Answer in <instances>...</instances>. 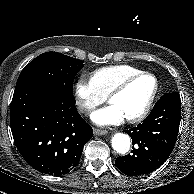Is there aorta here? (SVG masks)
Here are the masks:
<instances>
[{"instance_id":"762f6f07","label":"aorta","mask_w":194,"mask_h":194,"mask_svg":"<svg viewBox=\"0 0 194 194\" xmlns=\"http://www.w3.org/2000/svg\"><path fill=\"white\" fill-rule=\"evenodd\" d=\"M130 137L124 133H116L112 137V148L120 154H125L130 149Z\"/></svg>"}]
</instances>
